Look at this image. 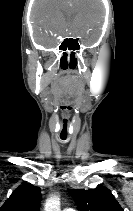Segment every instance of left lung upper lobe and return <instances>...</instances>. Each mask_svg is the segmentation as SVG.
<instances>
[{
    "label": "left lung upper lobe",
    "instance_id": "1",
    "mask_svg": "<svg viewBox=\"0 0 133 211\" xmlns=\"http://www.w3.org/2000/svg\"><path fill=\"white\" fill-rule=\"evenodd\" d=\"M71 195L81 211H123L111 191L103 186L95 189H72Z\"/></svg>",
    "mask_w": 133,
    "mask_h": 211
}]
</instances>
